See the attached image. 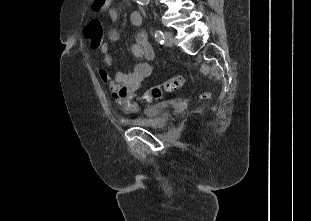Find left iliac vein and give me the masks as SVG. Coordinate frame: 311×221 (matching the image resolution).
Returning a JSON list of instances; mask_svg holds the SVG:
<instances>
[{"mask_svg": "<svg viewBox=\"0 0 311 221\" xmlns=\"http://www.w3.org/2000/svg\"><path fill=\"white\" fill-rule=\"evenodd\" d=\"M164 43L168 47H172L174 44V37L173 34L169 31H165L164 33Z\"/></svg>", "mask_w": 311, "mask_h": 221, "instance_id": "left-iliac-vein-1", "label": "left iliac vein"}]
</instances>
